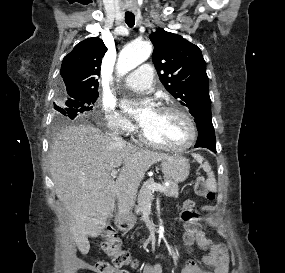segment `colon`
<instances>
[{"label": "colon", "instance_id": "1", "mask_svg": "<svg viewBox=\"0 0 285 273\" xmlns=\"http://www.w3.org/2000/svg\"><path fill=\"white\" fill-rule=\"evenodd\" d=\"M195 190L199 196L206 200L213 201L215 199L213 189L203 177L197 179ZM179 211L185 228L183 239L187 245H191L195 242L199 232L204 231L202 224L196 223L200 219V214L197 212L195 201L185 199ZM101 244L105 253L112 257L113 262H97L96 270L98 273H118L119 268L134 265L130 252L123 248L115 230L109 228L106 234L101 237Z\"/></svg>", "mask_w": 285, "mask_h": 273}]
</instances>
